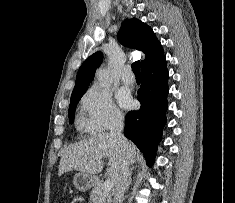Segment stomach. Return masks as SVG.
Here are the masks:
<instances>
[{
  "label": "stomach",
  "mask_w": 235,
  "mask_h": 203,
  "mask_svg": "<svg viewBox=\"0 0 235 203\" xmlns=\"http://www.w3.org/2000/svg\"><path fill=\"white\" fill-rule=\"evenodd\" d=\"M97 180L94 176L79 172L73 177L74 186L80 191H86L91 187L95 186Z\"/></svg>",
  "instance_id": "0dacf381"
}]
</instances>
